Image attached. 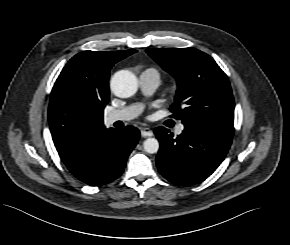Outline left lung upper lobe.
<instances>
[{
  "label": "left lung upper lobe",
  "mask_w": 290,
  "mask_h": 245,
  "mask_svg": "<svg viewBox=\"0 0 290 245\" xmlns=\"http://www.w3.org/2000/svg\"><path fill=\"white\" fill-rule=\"evenodd\" d=\"M146 52L177 81L173 116L233 136L234 98L226 74L206 53L194 48H151Z\"/></svg>",
  "instance_id": "5c2ea615"
}]
</instances>
